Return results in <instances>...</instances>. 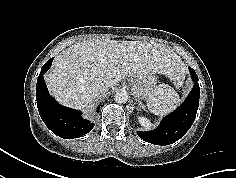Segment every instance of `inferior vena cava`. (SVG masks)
I'll list each match as a JSON object with an SVG mask.
<instances>
[{
	"mask_svg": "<svg viewBox=\"0 0 236 178\" xmlns=\"http://www.w3.org/2000/svg\"><path fill=\"white\" fill-rule=\"evenodd\" d=\"M108 88H109V85L107 83L98 82L96 84V93H97V95L105 93L108 90Z\"/></svg>",
	"mask_w": 236,
	"mask_h": 178,
	"instance_id": "obj_1",
	"label": "inferior vena cava"
}]
</instances>
